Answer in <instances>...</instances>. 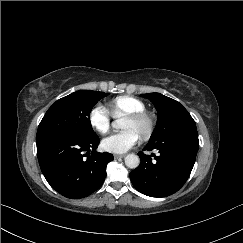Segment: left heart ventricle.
I'll return each instance as SVG.
<instances>
[{"label": "left heart ventricle", "mask_w": 243, "mask_h": 243, "mask_svg": "<svg viewBox=\"0 0 243 243\" xmlns=\"http://www.w3.org/2000/svg\"><path fill=\"white\" fill-rule=\"evenodd\" d=\"M122 129L124 131L132 130L138 135V137H141L146 129V125L144 123H136L125 118L123 121Z\"/></svg>", "instance_id": "obj_1"}]
</instances>
